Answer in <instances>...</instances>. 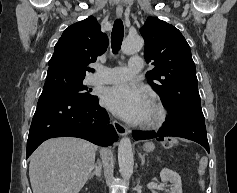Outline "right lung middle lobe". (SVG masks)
I'll list each match as a JSON object with an SVG mask.
<instances>
[{
	"label": "right lung middle lobe",
	"mask_w": 237,
	"mask_h": 193,
	"mask_svg": "<svg viewBox=\"0 0 237 193\" xmlns=\"http://www.w3.org/2000/svg\"><path fill=\"white\" fill-rule=\"evenodd\" d=\"M83 79L60 71H48L43 91H57L75 100H88L93 95L90 94L91 89L83 85Z\"/></svg>",
	"instance_id": "1"
}]
</instances>
